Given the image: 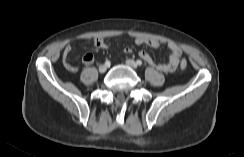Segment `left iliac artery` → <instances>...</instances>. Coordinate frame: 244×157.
<instances>
[{"label": "left iliac artery", "mask_w": 244, "mask_h": 157, "mask_svg": "<svg viewBox=\"0 0 244 157\" xmlns=\"http://www.w3.org/2000/svg\"><path fill=\"white\" fill-rule=\"evenodd\" d=\"M136 63H137L138 66L142 65V61L141 60H137Z\"/></svg>", "instance_id": "obj_1"}]
</instances>
